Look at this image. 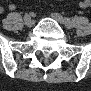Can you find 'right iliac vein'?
<instances>
[{
	"label": "right iliac vein",
	"mask_w": 91,
	"mask_h": 91,
	"mask_svg": "<svg viewBox=\"0 0 91 91\" xmlns=\"http://www.w3.org/2000/svg\"><path fill=\"white\" fill-rule=\"evenodd\" d=\"M24 24H25L27 27H31V26H33V24H34V21H33V19H31L30 16H27V17H24Z\"/></svg>",
	"instance_id": "right-iliac-vein-1"
}]
</instances>
